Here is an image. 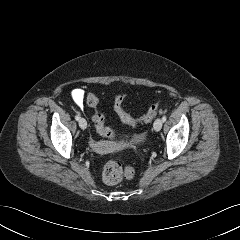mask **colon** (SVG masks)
Here are the masks:
<instances>
[{
    "label": "colon",
    "instance_id": "1",
    "mask_svg": "<svg viewBox=\"0 0 240 240\" xmlns=\"http://www.w3.org/2000/svg\"><path fill=\"white\" fill-rule=\"evenodd\" d=\"M126 94L119 92L114 99V108L121 120L129 125L145 124L152 121L159 111V102L153 103L148 111L139 118L131 117L123 108V102ZM87 104L95 110L92 120L97 131L106 137H113L114 131L104 123L103 114L98 111L99 100L92 92L86 95ZM122 149V148H120ZM134 176V170L130 166H123L118 160L109 161L102 169V179L108 185H115L123 179H131Z\"/></svg>",
    "mask_w": 240,
    "mask_h": 240
}]
</instances>
